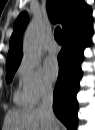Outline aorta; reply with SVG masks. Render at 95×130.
Here are the masks:
<instances>
[{
	"label": "aorta",
	"mask_w": 95,
	"mask_h": 130,
	"mask_svg": "<svg viewBox=\"0 0 95 130\" xmlns=\"http://www.w3.org/2000/svg\"><path fill=\"white\" fill-rule=\"evenodd\" d=\"M43 35L44 25L35 18L26 31L23 43V55L30 66H36L40 60Z\"/></svg>",
	"instance_id": "aorta-1"
}]
</instances>
